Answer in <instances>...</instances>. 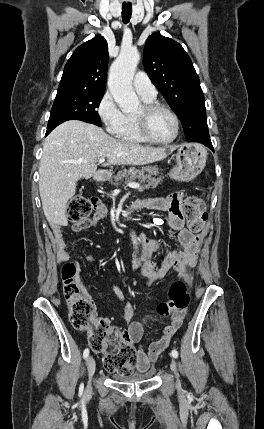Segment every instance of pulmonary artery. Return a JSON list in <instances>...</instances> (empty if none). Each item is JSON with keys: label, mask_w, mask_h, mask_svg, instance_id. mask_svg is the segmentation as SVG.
Masks as SVG:
<instances>
[{"label": "pulmonary artery", "mask_w": 264, "mask_h": 429, "mask_svg": "<svg viewBox=\"0 0 264 429\" xmlns=\"http://www.w3.org/2000/svg\"><path fill=\"white\" fill-rule=\"evenodd\" d=\"M133 87L137 94L144 99L153 100L156 97V88L145 72H138L135 75Z\"/></svg>", "instance_id": "e3ab8cb5"}]
</instances>
